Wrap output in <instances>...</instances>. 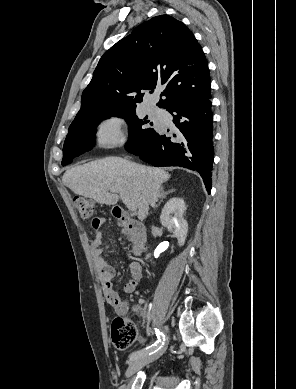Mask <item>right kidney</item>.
Returning a JSON list of instances; mask_svg holds the SVG:
<instances>
[{
  "instance_id": "right-kidney-1",
  "label": "right kidney",
  "mask_w": 296,
  "mask_h": 389,
  "mask_svg": "<svg viewBox=\"0 0 296 389\" xmlns=\"http://www.w3.org/2000/svg\"><path fill=\"white\" fill-rule=\"evenodd\" d=\"M185 210L184 200L173 197L167 201L160 215L161 224L174 234L179 246L184 245L188 232V223L183 217Z\"/></svg>"
}]
</instances>
